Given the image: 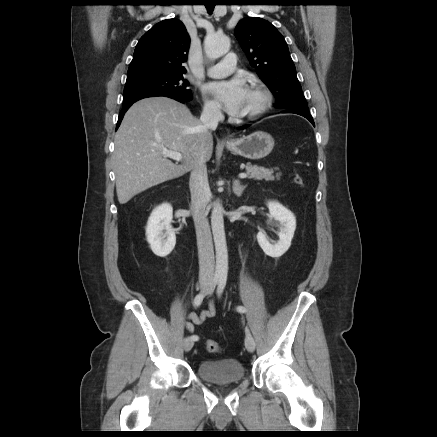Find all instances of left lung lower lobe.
Listing matches in <instances>:
<instances>
[{
  "label": "left lung lower lobe",
  "instance_id": "0a47b994",
  "mask_svg": "<svg viewBox=\"0 0 437 437\" xmlns=\"http://www.w3.org/2000/svg\"><path fill=\"white\" fill-rule=\"evenodd\" d=\"M283 113H295V114H299V115H301V116L307 118V119H308V120L313 124V126H315L314 121H313V118H312V116L309 114V112H304V111H300V110L289 109V110H285V111H283ZM248 126H249V125H246V126L240 127V129H245V128H247Z\"/></svg>",
  "mask_w": 437,
  "mask_h": 437
}]
</instances>
